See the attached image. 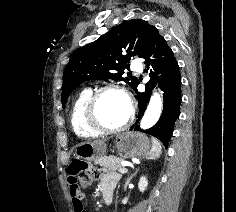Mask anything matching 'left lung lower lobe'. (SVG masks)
<instances>
[{
  "mask_svg": "<svg viewBox=\"0 0 236 212\" xmlns=\"http://www.w3.org/2000/svg\"><path fill=\"white\" fill-rule=\"evenodd\" d=\"M142 58L145 60L146 68H152L150 71L151 80L145 85L146 91L144 93L138 92L137 87L134 89L139 106V118L135 123V130H139L138 121L145 112L151 90L158 83L164 92L163 111L157 123L144 132L158 138L167 147L173 133V125L180 114L181 76L173 51L156 27L151 30L147 49Z\"/></svg>",
  "mask_w": 236,
  "mask_h": 212,
  "instance_id": "obj_1",
  "label": "left lung lower lobe"
}]
</instances>
